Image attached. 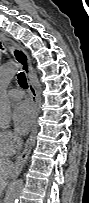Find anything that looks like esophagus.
<instances>
[{
    "mask_svg": "<svg viewBox=\"0 0 89 203\" xmlns=\"http://www.w3.org/2000/svg\"><path fill=\"white\" fill-rule=\"evenodd\" d=\"M1 38L4 41H9V43L11 44L10 51H11L14 59L19 64V66L21 67V69L23 70V72L25 73V75L27 77L29 89H30V94H31V101L33 104L34 112H35L34 124H33L32 130H31L30 136L26 142L25 149L17 157V159L14 163V168L17 171H20L23 168V166H24V164H25V162L29 156V153L31 151L33 136H34L35 131H36V121H37V117H38V113H39L38 94H37V90H36L35 84H34L33 79H32L33 70H32L30 57L22 48L17 46L13 40L7 38L3 33L1 34Z\"/></svg>",
    "mask_w": 89,
    "mask_h": 203,
    "instance_id": "34e87169",
    "label": "esophagus"
}]
</instances>
